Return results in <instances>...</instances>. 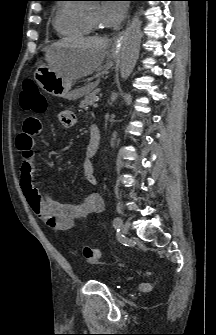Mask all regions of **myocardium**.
I'll return each instance as SVG.
<instances>
[{"label":"myocardium","mask_w":216,"mask_h":335,"mask_svg":"<svg viewBox=\"0 0 216 335\" xmlns=\"http://www.w3.org/2000/svg\"><path fill=\"white\" fill-rule=\"evenodd\" d=\"M84 18L86 23L88 24V26L93 30V31H98L101 29L100 25L95 24L94 22H92L90 20V18L86 15V13H84Z\"/></svg>","instance_id":"myocardium-1"}]
</instances>
